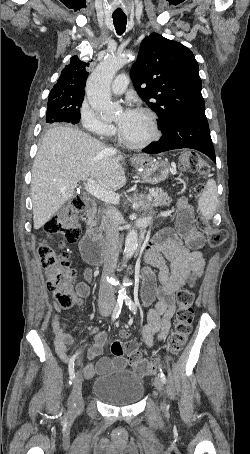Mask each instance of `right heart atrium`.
I'll list each match as a JSON object with an SVG mask.
<instances>
[{"instance_id": "right-heart-atrium-1", "label": "right heart atrium", "mask_w": 250, "mask_h": 454, "mask_svg": "<svg viewBox=\"0 0 250 454\" xmlns=\"http://www.w3.org/2000/svg\"><path fill=\"white\" fill-rule=\"evenodd\" d=\"M82 128L100 138L108 137L115 131L114 126L105 122L91 107L87 99L81 103L79 110Z\"/></svg>"}]
</instances>
